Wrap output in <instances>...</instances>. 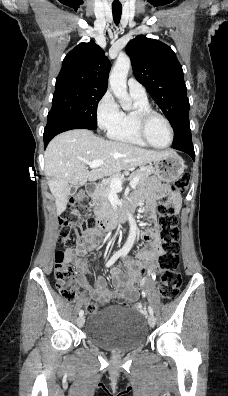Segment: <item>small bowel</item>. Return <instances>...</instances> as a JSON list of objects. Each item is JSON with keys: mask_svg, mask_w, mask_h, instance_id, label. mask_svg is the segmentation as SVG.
Masks as SVG:
<instances>
[{"mask_svg": "<svg viewBox=\"0 0 228 396\" xmlns=\"http://www.w3.org/2000/svg\"><path fill=\"white\" fill-rule=\"evenodd\" d=\"M150 198L148 201L147 211L154 216L155 202L157 199L169 194V186L167 184H152L150 189ZM174 202L176 213L179 212L181 199L176 194H171ZM139 197L132 198V203L138 205ZM146 240L151 241L150 249L141 250L137 252V257L140 260V265H149L150 268L157 267V258L161 254L160 238L156 230H147L144 234ZM99 241V232L95 228H89L85 231L82 239L75 247H69L65 251L66 260L72 263L79 272V282L88 292L89 296L98 300L101 303H107L111 300H130L137 301L140 296L138 284L146 286L153 276L149 274L147 277L141 278L136 265L128 263V272L122 273L119 269L113 268L110 270L111 278L114 282V289L107 287V282L103 277L94 278V286H92L88 279L89 271L85 267L83 257L90 251L96 249ZM136 308L143 311L141 304H137Z\"/></svg>", "mask_w": 228, "mask_h": 396, "instance_id": "1", "label": "small bowel"}]
</instances>
